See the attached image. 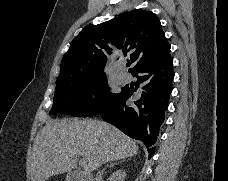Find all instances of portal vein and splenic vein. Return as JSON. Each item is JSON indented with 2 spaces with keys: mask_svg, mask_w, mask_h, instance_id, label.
<instances>
[{
  "mask_svg": "<svg viewBox=\"0 0 228 181\" xmlns=\"http://www.w3.org/2000/svg\"><path fill=\"white\" fill-rule=\"evenodd\" d=\"M78 165H81V167H85V165H83V161H81V159H79Z\"/></svg>",
  "mask_w": 228,
  "mask_h": 181,
  "instance_id": "1",
  "label": "portal vein and splenic vein"
}]
</instances>
